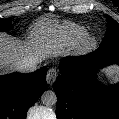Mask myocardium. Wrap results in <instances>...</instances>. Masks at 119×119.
Segmentation results:
<instances>
[{
  "mask_svg": "<svg viewBox=\"0 0 119 119\" xmlns=\"http://www.w3.org/2000/svg\"><path fill=\"white\" fill-rule=\"evenodd\" d=\"M97 39L94 35H85L78 43L77 51L81 54L88 53L95 49Z\"/></svg>",
  "mask_w": 119,
  "mask_h": 119,
  "instance_id": "obj_1",
  "label": "myocardium"
}]
</instances>
